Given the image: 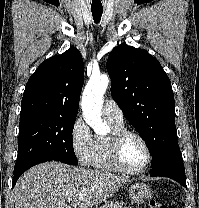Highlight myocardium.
I'll return each instance as SVG.
<instances>
[{
	"label": "myocardium",
	"instance_id": "1",
	"mask_svg": "<svg viewBox=\"0 0 199 208\" xmlns=\"http://www.w3.org/2000/svg\"><path fill=\"white\" fill-rule=\"evenodd\" d=\"M128 136H133L137 138L138 140H140L146 150V154H147L146 161L141 167L137 169L128 168L124 164L122 157H121V145ZM109 151H110V158L113 164L120 171L127 173V174H132V175L140 174L144 172L152 162V151L147 140L140 133L134 130L122 129L112 134L110 141H109Z\"/></svg>",
	"mask_w": 199,
	"mask_h": 208
}]
</instances>
